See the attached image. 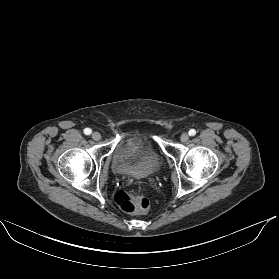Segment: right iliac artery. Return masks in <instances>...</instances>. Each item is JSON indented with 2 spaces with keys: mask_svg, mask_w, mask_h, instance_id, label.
Returning a JSON list of instances; mask_svg holds the SVG:
<instances>
[{
  "mask_svg": "<svg viewBox=\"0 0 279 279\" xmlns=\"http://www.w3.org/2000/svg\"><path fill=\"white\" fill-rule=\"evenodd\" d=\"M91 132H92V130H91L90 128H85V129H84V133H85L86 135L91 134Z\"/></svg>",
  "mask_w": 279,
  "mask_h": 279,
  "instance_id": "82829eb1",
  "label": "right iliac artery"
}]
</instances>
